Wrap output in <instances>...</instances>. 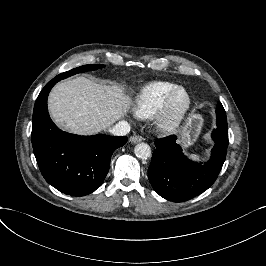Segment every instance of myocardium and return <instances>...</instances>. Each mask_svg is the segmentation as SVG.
<instances>
[{
	"instance_id": "myocardium-1",
	"label": "myocardium",
	"mask_w": 266,
	"mask_h": 266,
	"mask_svg": "<svg viewBox=\"0 0 266 266\" xmlns=\"http://www.w3.org/2000/svg\"><path fill=\"white\" fill-rule=\"evenodd\" d=\"M183 91L187 97V106L182 114L174 118L171 113L172 103L176 95ZM194 107V100L190 90L185 86L175 88L162 102L159 109L153 115V126L155 130L163 135H172L176 133L188 120Z\"/></svg>"
}]
</instances>
